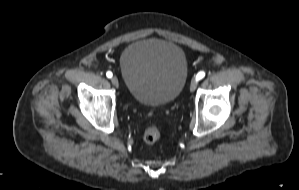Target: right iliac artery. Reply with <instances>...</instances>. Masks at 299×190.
<instances>
[{
	"instance_id": "obj_1",
	"label": "right iliac artery",
	"mask_w": 299,
	"mask_h": 190,
	"mask_svg": "<svg viewBox=\"0 0 299 190\" xmlns=\"http://www.w3.org/2000/svg\"><path fill=\"white\" fill-rule=\"evenodd\" d=\"M112 72L111 71H108L107 73H106V76L108 77V78H111L112 77Z\"/></svg>"
}]
</instances>
